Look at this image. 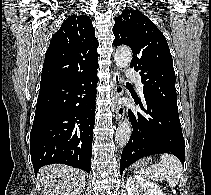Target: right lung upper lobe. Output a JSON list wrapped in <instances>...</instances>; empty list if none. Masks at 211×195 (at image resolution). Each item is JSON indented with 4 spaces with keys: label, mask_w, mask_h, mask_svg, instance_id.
<instances>
[{
    "label": "right lung upper lobe",
    "mask_w": 211,
    "mask_h": 195,
    "mask_svg": "<svg viewBox=\"0 0 211 195\" xmlns=\"http://www.w3.org/2000/svg\"><path fill=\"white\" fill-rule=\"evenodd\" d=\"M98 41L87 15H71L52 36L40 88L88 74L99 67Z\"/></svg>",
    "instance_id": "1"
}]
</instances>
